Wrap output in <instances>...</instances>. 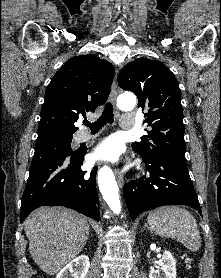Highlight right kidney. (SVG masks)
<instances>
[{"mask_svg": "<svg viewBox=\"0 0 221 278\" xmlns=\"http://www.w3.org/2000/svg\"><path fill=\"white\" fill-rule=\"evenodd\" d=\"M90 262L86 255H80L68 263L55 278H85Z\"/></svg>", "mask_w": 221, "mask_h": 278, "instance_id": "obj_1", "label": "right kidney"}]
</instances>
